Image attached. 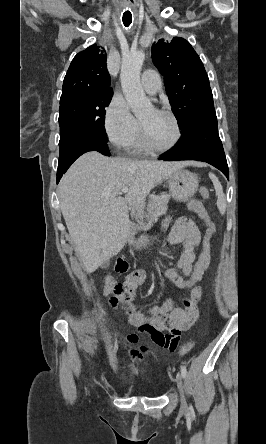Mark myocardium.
I'll return each mask as SVG.
<instances>
[{
	"label": "myocardium",
	"mask_w": 266,
	"mask_h": 444,
	"mask_svg": "<svg viewBox=\"0 0 266 444\" xmlns=\"http://www.w3.org/2000/svg\"><path fill=\"white\" fill-rule=\"evenodd\" d=\"M155 111L157 113H160V114L170 117L172 119V121L174 122L176 133H175V137H174L173 141L167 147H164V148L154 145L151 142L142 122H140L141 137H142L145 147L148 150L155 152V153H164V152L174 149L178 145V143L180 142L181 137H182V129H181V125H180V121H179L178 117L172 111L167 110V109H155Z\"/></svg>",
	"instance_id": "obj_1"
}]
</instances>
